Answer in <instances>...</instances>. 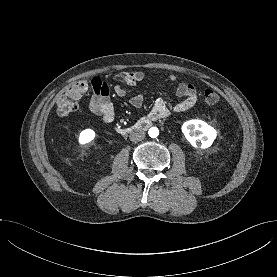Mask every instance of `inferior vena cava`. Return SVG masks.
<instances>
[{
	"mask_svg": "<svg viewBox=\"0 0 277 277\" xmlns=\"http://www.w3.org/2000/svg\"><path fill=\"white\" fill-rule=\"evenodd\" d=\"M129 137L132 142H139L145 138V132L141 130H134L130 133Z\"/></svg>",
	"mask_w": 277,
	"mask_h": 277,
	"instance_id": "obj_1",
	"label": "inferior vena cava"
}]
</instances>
